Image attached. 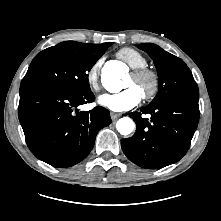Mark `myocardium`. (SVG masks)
Masks as SVG:
<instances>
[{"instance_id": "f54148a6", "label": "myocardium", "mask_w": 221, "mask_h": 221, "mask_svg": "<svg viewBox=\"0 0 221 221\" xmlns=\"http://www.w3.org/2000/svg\"><path fill=\"white\" fill-rule=\"evenodd\" d=\"M136 82H148V87L142 91V97L150 100L156 96L160 88V76L158 72L149 67L135 68L131 72Z\"/></svg>"}]
</instances>
